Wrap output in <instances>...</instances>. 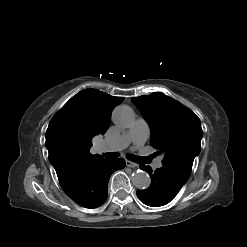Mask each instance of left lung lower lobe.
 <instances>
[{"instance_id": "0a47b994", "label": "left lung lower lobe", "mask_w": 247, "mask_h": 247, "mask_svg": "<svg viewBox=\"0 0 247 247\" xmlns=\"http://www.w3.org/2000/svg\"><path fill=\"white\" fill-rule=\"evenodd\" d=\"M140 168L150 175L152 183L148 189L138 190L137 196L141 202L151 207L169 203L187 181L172 169L164 166L155 171L146 165H140Z\"/></svg>"}]
</instances>
